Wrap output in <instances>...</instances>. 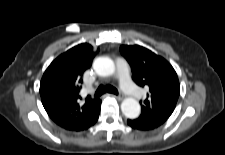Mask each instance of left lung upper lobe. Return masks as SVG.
Here are the masks:
<instances>
[{"instance_id": "obj_1", "label": "left lung upper lobe", "mask_w": 225, "mask_h": 155, "mask_svg": "<svg viewBox=\"0 0 225 155\" xmlns=\"http://www.w3.org/2000/svg\"><path fill=\"white\" fill-rule=\"evenodd\" d=\"M120 51L131 66L136 84L149 88L137 119L165 122L174 111L180 94L174 68L164 58L139 45H122Z\"/></svg>"}]
</instances>
